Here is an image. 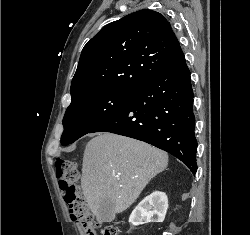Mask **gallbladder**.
<instances>
[{"mask_svg": "<svg viewBox=\"0 0 250 235\" xmlns=\"http://www.w3.org/2000/svg\"><path fill=\"white\" fill-rule=\"evenodd\" d=\"M101 222H111L115 218V204L109 198L104 199L99 208Z\"/></svg>", "mask_w": 250, "mask_h": 235, "instance_id": "1", "label": "gallbladder"}]
</instances>
